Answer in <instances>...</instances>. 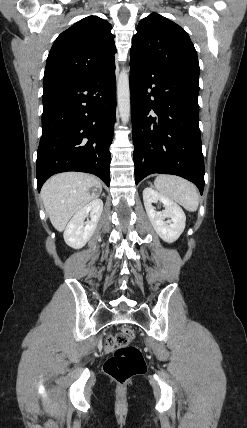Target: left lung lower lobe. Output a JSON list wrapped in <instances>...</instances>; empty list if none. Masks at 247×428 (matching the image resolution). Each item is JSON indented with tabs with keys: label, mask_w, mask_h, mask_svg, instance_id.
Instances as JSON below:
<instances>
[{
	"label": "left lung lower lobe",
	"mask_w": 247,
	"mask_h": 428,
	"mask_svg": "<svg viewBox=\"0 0 247 428\" xmlns=\"http://www.w3.org/2000/svg\"><path fill=\"white\" fill-rule=\"evenodd\" d=\"M135 182L152 173L173 174L204 188L199 88L149 63L130 60Z\"/></svg>",
	"instance_id": "left-lung-lower-lobe-1"
}]
</instances>
